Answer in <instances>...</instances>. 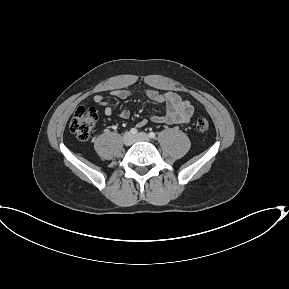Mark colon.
Instances as JSON below:
<instances>
[{
  "label": "colon",
  "mask_w": 289,
  "mask_h": 289,
  "mask_svg": "<svg viewBox=\"0 0 289 289\" xmlns=\"http://www.w3.org/2000/svg\"><path fill=\"white\" fill-rule=\"evenodd\" d=\"M98 119L97 111L93 107H79L69 123L70 131L80 140H87ZM196 130L205 134L209 129V123L205 118L196 121Z\"/></svg>",
  "instance_id": "1"
}]
</instances>
